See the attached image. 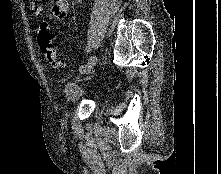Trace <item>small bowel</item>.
Returning a JSON list of instances; mask_svg holds the SVG:
<instances>
[{
    "mask_svg": "<svg viewBox=\"0 0 221 174\" xmlns=\"http://www.w3.org/2000/svg\"><path fill=\"white\" fill-rule=\"evenodd\" d=\"M30 9L34 15H40L42 12V6L39 3V0H33L30 3ZM68 9V0H54L51 8V14L59 22L64 23L67 18Z\"/></svg>",
    "mask_w": 221,
    "mask_h": 174,
    "instance_id": "c3829d8e",
    "label": "small bowel"
}]
</instances>
